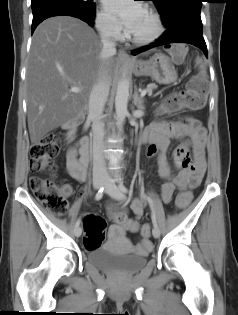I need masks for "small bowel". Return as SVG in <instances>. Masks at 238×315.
<instances>
[{"label":"small bowel","instance_id":"small-bowel-1","mask_svg":"<svg viewBox=\"0 0 238 315\" xmlns=\"http://www.w3.org/2000/svg\"><path fill=\"white\" fill-rule=\"evenodd\" d=\"M206 131L199 121L193 118L182 120L176 127L166 122H155L149 125L139 136V142L148 144L147 155L156 157L159 177L163 180L161 197L165 203L172 200L176 190L183 193H190L191 188L196 187L202 180L206 169L205 143ZM186 137L188 142L178 147L174 152V162L179 172L173 174L167 160V153L171 147L172 138ZM190 146L193 153V164L190 165V158L187 147ZM79 154V156H78ZM90 147L87 139H80L70 147L67 157V172L78 181L86 179L87 168L90 163ZM60 194L69 197L72 187L68 184L61 186ZM113 207V206H112ZM145 203L142 199L136 198L132 201L130 209L134 219H126L122 224H113L109 228L111 237L125 235L126 232H136L139 229V220L144 213ZM90 217V216H88ZM152 248V242L146 237L138 242L135 252L147 253Z\"/></svg>","mask_w":238,"mask_h":315}]
</instances>
